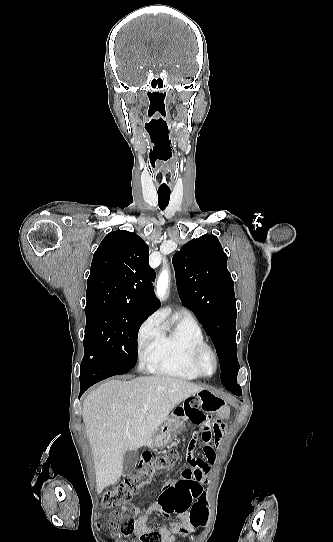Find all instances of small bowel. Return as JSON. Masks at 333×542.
Listing matches in <instances>:
<instances>
[{
  "label": "small bowel",
  "mask_w": 333,
  "mask_h": 542,
  "mask_svg": "<svg viewBox=\"0 0 333 542\" xmlns=\"http://www.w3.org/2000/svg\"><path fill=\"white\" fill-rule=\"evenodd\" d=\"M183 406V407H182ZM182 406L175 408L174 413L177 416V421L190 422L196 425L193 437L188 443V458L193 465V470L184 471L187 473V479L190 480L195 486V492H197L196 481L201 478L203 471L207 468L206 464L200 460L192 459V453L197 448L199 442L202 443V447L207 459L212 462L215 459L216 450L223 438V431L226 425L221 423L224 417L222 409H212L209 416L206 417L204 413L198 408V402L196 400H185ZM186 411V412H185ZM146 453L143 456V461H148L151 458V454L147 453L149 450H144ZM183 472V473H184ZM176 483V482H175ZM175 483L169 482L166 485V490L174 488ZM189 495L194 494L192 491L187 492ZM183 492L173 490L172 497H181ZM131 514L134 518V523L137 532L139 533H156L159 535L160 542H175V535L184 534L192 531L194 527L204 525L208 520V513L203 504H195L190 513L187 509L182 511L183 520L170 522L164 526H149L147 524L148 519L152 513L160 510V506H156L153 503H144L141 507H132ZM127 510V509H126ZM125 510V511H126ZM207 528L210 526L208 523L205 525Z\"/></svg>",
  "instance_id": "small-bowel-1"
}]
</instances>
